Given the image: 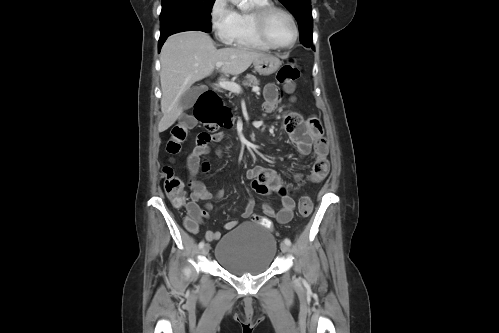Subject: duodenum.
I'll use <instances>...</instances> for the list:
<instances>
[{
    "mask_svg": "<svg viewBox=\"0 0 499 333\" xmlns=\"http://www.w3.org/2000/svg\"><path fill=\"white\" fill-rule=\"evenodd\" d=\"M214 92L209 90L203 93L197 100L196 103V116L201 120L212 119L219 115L218 108L208 103V93Z\"/></svg>",
    "mask_w": 499,
    "mask_h": 333,
    "instance_id": "1",
    "label": "duodenum"
}]
</instances>
